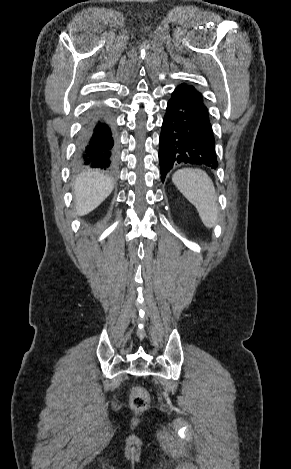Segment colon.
<instances>
[{
	"label": "colon",
	"instance_id": "1",
	"mask_svg": "<svg viewBox=\"0 0 291 469\" xmlns=\"http://www.w3.org/2000/svg\"><path fill=\"white\" fill-rule=\"evenodd\" d=\"M130 404L136 410H142L149 404V395L147 391L140 386H135L131 389Z\"/></svg>",
	"mask_w": 291,
	"mask_h": 469
}]
</instances>
